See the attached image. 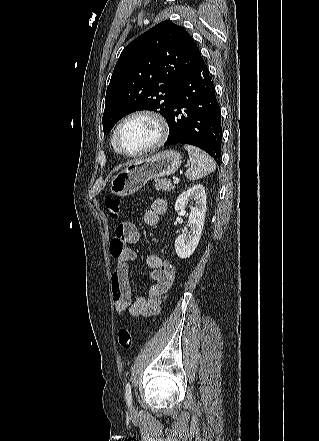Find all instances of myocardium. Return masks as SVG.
Returning <instances> with one entry per match:
<instances>
[{
  "instance_id": "obj_1",
  "label": "myocardium",
  "mask_w": 319,
  "mask_h": 441,
  "mask_svg": "<svg viewBox=\"0 0 319 441\" xmlns=\"http://www.w3.org/2000/svg\"><path fill=\"white\" fill-rule=\"evenodd\" d=\"M135 118H147L149 120H151L152 122H154V124L156 125L157 128V137L156 139L148 146H146L145 148L136 151V152H127L125 151L119 142V134H120V130L123 127V125ZM168 133H169V126L168 123L166 121V119L158 112L154 111V110H150V109H139V110H135L130 112L129 114H127L126 116H124L117 124L115 130H114V134H113V143H114V147L116 149V151L118 153H120L121 155H124L126 157H140L143 155H146L150 152L155 151L156 149H158L159 147H161L164 142L166 141L167 137H168Z\"/></svg>"
}]
</instances>
